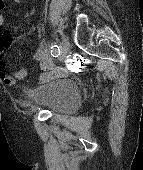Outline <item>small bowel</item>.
<instances>
[{
	"instance_id": "small-bowel-1",
	"label": "small bowel",
	"mask_w": 143,
	"mask_h": 170,
	"mask_svg": "<svg viewBox=\"0 0 143 170\" xmlns=\"http://www.w3.org/2000/svg\"><path fill=\"white\" fill-rule=\"evenodd\" d=\"M0 3V8H2L4 6V2L1 0ZM5 21V15L3 13H0V80L4 84L11 86L15 83V80L24 79L27 75V70L21 69L13 72V74H9L6 71V63L4 61L3 55L5 49L11 46L13 39L10 33H8L4 28ZM34 30L38 34L41 33V28L39 27H36ZM33 61L39 63L40 68L44 71L41 77L42 80L47 79L52 75V70H54L53 60L47 51L45 41L42 39H40L37 43V47L33 54ZM56 70L57 75H63L64 73H66V69L64 68Z\"/></svg>"
}]
</instances>
